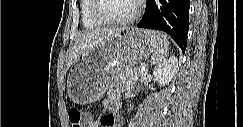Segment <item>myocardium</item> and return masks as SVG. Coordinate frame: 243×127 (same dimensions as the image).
Instances as JSON below:
<instances>
[{"label":"myocardium","instance_id":"1","mask_svg":"<svg viewBox=\"0 0 243 127\" xmlns=\"http://www.w3.org/2000/svg\"><path fill=\"white\" fill-rule=\"evenodd\" d=\"M100 1L101 0H93L94 5H93V14L94 17L103 23L104 25H111V26H116V25H125L132 23L136 21L139 16L142 13L143 10V1L142 0H136V8L133 14H131L128 17L122 18V19H111L103 15L101 11V6H100Z\"/></svg>","mask_w":243,"mask_h":127}]
</instances>
